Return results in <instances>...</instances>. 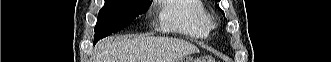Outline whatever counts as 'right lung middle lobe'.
I'll return each instance as SVG.
<instances>
[{
	"label": "right lung middle lobe",
	"instance_id": "1",
	"mask_svg": "<svg viewBox=\"0 0 331 62\" xmlns=\"http://www.w3.org/2000/svg\"><path fill=\"white\" fill-rule=\"evenodd\" d=\"M150 5L149 0H105L98 14L94 42L127 27Z\"/></svg>",
	"mask_w": 331,
	"mask_h": 62
}]
</instances>
